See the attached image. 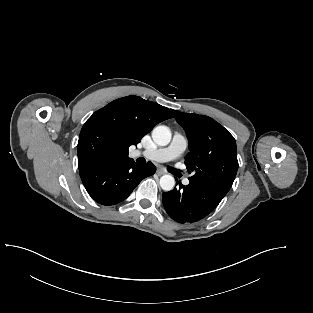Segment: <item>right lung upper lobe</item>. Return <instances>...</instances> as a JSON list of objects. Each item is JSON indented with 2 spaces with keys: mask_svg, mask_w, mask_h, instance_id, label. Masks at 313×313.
I'll use <instances>...</instances> for the list:
<instances>
[{
  "mask_svg": "<svg viewBox=\"0 0 313 313\" xmlns=\"http://www.w3.org/2000/svg\"><path fill=\"white\" fill-rule=\"evenodd\" d=\"M172 117L168 108L138 96L112 101L94 112L81 129L79 169L132 160L128 148L137 145L156 124Z\"/></svg>",
  "mask_w": 313,
  "mask_h": 313,
  "instance_id": "cb5924a9",
  "label": "right lung upper lobe"
}]
</instances>
